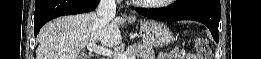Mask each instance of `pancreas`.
I'll return each instance as SVG.
<instances>
[{
    "label": "pancreas",
    "instance_id": "1",
    "mask_svg": "<svg viewBox=\"0 0 261 59\" xmlns=\"http://www.w3.org/2000/svg\"><path fill=\"white\" fill-rule=\"evenodd\" d=\"M124 54L129 57L136 56L137 59H155V52L146 44L128 46Z\"/></svg>",
    "mask_w": 261,
    "mask_h": 59
}]
</instances>
